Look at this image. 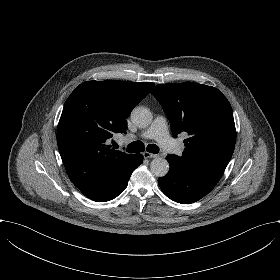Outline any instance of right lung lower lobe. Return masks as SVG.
Listing matches in <instances>:
<instances>
[{"label": "right lung lower lobe", "instance_id": "obj_1", "mask_svg": "<svg viewBox=\"0 0 280 280\" xmlns=\"http://www.w3.org/2000/svg\"><path fill=\"white\" fill-rule=\"evenodd\" d=\"M143 156L141 154H137V158L133 164V166L124 172L120 177L116 178L110 186L104 189V193H102L97 202L109 201L117 197L127 186L128 180L132 174V172L142 163Z\"/></svg>", "mask_w": 280, "mask_h": 280}]
</instances>
